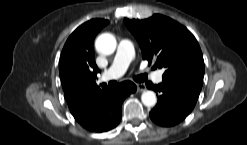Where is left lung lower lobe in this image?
<instances>
[{
  "mask_svg": "<svg viewBox=\"0 0 247 145\" xmlns=\"http://www.w3.org/2000/svg\"><path fill=\"white\" fill-rule=\"evenodd\" d=\"M146 86L159 93L158 103L149 115L153 122L166 127L184 120L193 110L200 94V90L171 79H163L158 85L147 82Z\"/></svg>",
  "mask_w": 247,
  "mask_h": 145,
  "instance_id": "1",
  "label": "left lung lower lobe"
}]
</instances>
